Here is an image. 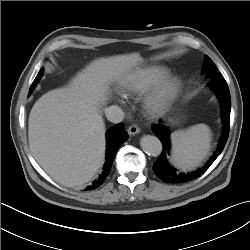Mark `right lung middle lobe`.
<instances>
[{
    "instance_id": "1",
    "label": "right lung middle lobe",
    "mask_w": 250,
    "mask_h": 250,
    "mask_svg": "<svg viewBox=\"0 0 250 250\" xmlns=\"http://www.w3.org/2000/svg\"><path fill=\"white\" fill-rule=\"evenodd\" d=\"M43 72H44V69H41L40 72L38 73V75L36 76L34 82L32 83V85L30 87L29 94L32 92V90L34 89V87L38 83V81H39L40 77L42 76Z\"/></svg>"
}]
</instances>
